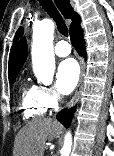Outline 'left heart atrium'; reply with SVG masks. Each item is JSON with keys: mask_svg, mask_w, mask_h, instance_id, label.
I'll use <instances>...</instances> for the list:
<instances>
[{"mask_svg": "<svg viewBox=\"0 0 114 156\" xmlns=\"http://www.w3.org/2000/svg\"><path fill=\"white\" fill-rule=\"evenodd\" d=\"M79 66L76 60L68 58L63 60L58 68L56 74L57 89L62 94H69L75 88L79 79Z\"/></svg>", "mask_w": 114, "mask_h": 156, "instance_id": "obj_1", "label": "left heart atrium"}]
</instances>
